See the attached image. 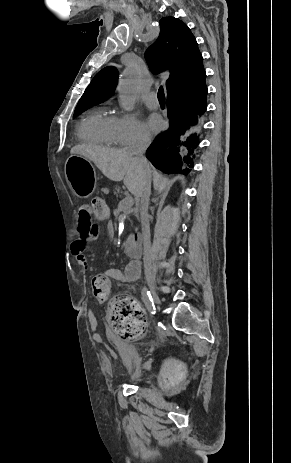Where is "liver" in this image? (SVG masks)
<instances>
[{
  "mask_svg": "<svg viewBox=\"0 0 291 463\" xmlns=\"http://www.w3.org/2000/svg\"><path fill=\"white\" fill-rule=\"evenodd\" d=\"M70 152L93 161L110 180L116 182L123 180L127 189L136 197H140L144 188L146 170L126 149L82 144L74 146Z\"/></svg>",
  "mask_w": 291,
  "mask_h": 463,
  "instance_id": "1",
  "label": "liver"
}]
</instances>
